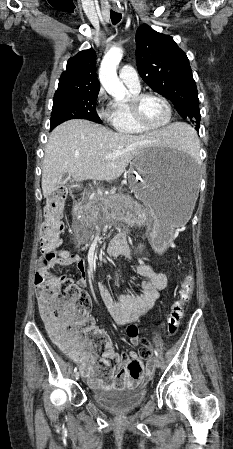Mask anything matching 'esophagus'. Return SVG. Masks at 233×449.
<instances>
[{"label":"esophagus","mask_w":233,"mask_h":449,"mask_svg":"<svg viewBox=\"0 0 233 449\" xmlns=\"http://www.w3.org/2000/svg\"><path fill=\"white\" fill-rule=\"evenodd\" d=\"M113 9H114L116 12H119V11H120V9H119L117 6H114Z\"/></svg>","instance_id":"1"}]
</instances>
